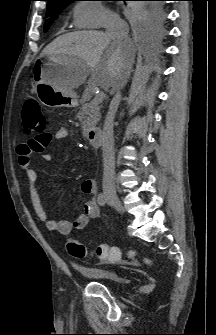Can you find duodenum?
<instances>
[{
  "instance_id": "duodenum-1",
  "label": "duodenum",
  "mask_w": 216,
  "mask_h": 335,
  "mask_svg": "<svg viewBox=\"0 0 216 335\" xmlns=\"http://www.w3.org/2000/svg\"><path fill=\"white\" fill-rule=\"evenodd\" d=\"M87 138L94 148H99L102 144V130L98 127L91 128L87 133Z\"/></svg>"
}]
</instances>
